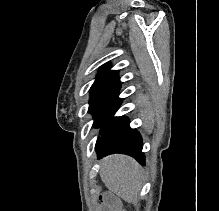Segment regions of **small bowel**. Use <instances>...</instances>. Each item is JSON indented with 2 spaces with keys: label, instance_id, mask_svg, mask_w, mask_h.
<instances>
[{
  "label": "small bowel",
  "instance_id": "1",
  "mask_svg": "<svg viewBox=\"0 0 219 211\" xmlns=\"http://www.w3.org/2000/svg\"><path fill=\"white\" fill-rule=\"evenodd\" d=\"M101 201L104 211H121L117 205V200L113 195L105 194Z\"/></svg>",
  "mask_w": 219,
  "mask_h": 211
}]
</instances>
